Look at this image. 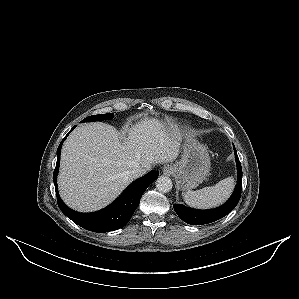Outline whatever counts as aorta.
<instances>
[{
  "label": "aorta",
  "mask_w": 299,
  "mask_h": 299,
  "mask_svg": "<svg viewBox=\"0 0 299 299\" xmlns=\"http://www.w3.org/2000/svg\"><path fill=\"white\" fill-rule=\"evenodd\" d=\"M172 180L167 176H160L156 180V188L161 193H167L172 190Z\"/></svg>",
  "instance_id": "aorta-1"
}]
</instances>
